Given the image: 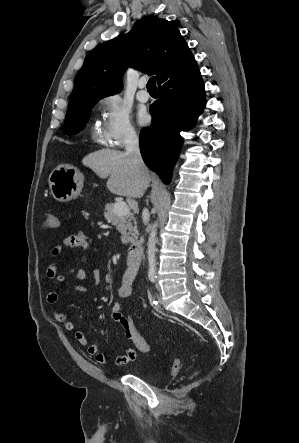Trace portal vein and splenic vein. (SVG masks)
I'll return each instance as SVG.
<instances>
[{
	"label": "portal vein and splenic vein",
	"instance_id": "1",
	"mask_svg": "<svg viewBox=\"0 0 299 443\" xmlns=\"http://www.w3.org/2000/svg\"><path fill=\"white\" fill-rule=\"evenodd\" d=\"M129 212V208L125 202H116L114 205V213L117 216H124Z\"/></svg>",
	"mask_w": 299,
	"mask_h": 443
}]
</instances>
